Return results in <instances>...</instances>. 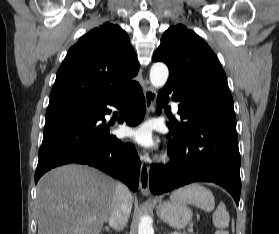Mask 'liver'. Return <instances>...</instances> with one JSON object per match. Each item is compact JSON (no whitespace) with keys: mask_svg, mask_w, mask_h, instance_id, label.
Segmentation results:
<instances>
[{"mask_svg":"<svg viewBox=\"0 0 279 234\" xmlns=\"http://www.w3.org/2000/svg\"><path fill=\"white\" fill-rule=\"evenodd\" d=\"M116 184L83 165L49 171L37 185L38 234H99L110 217Z\"/></svg>","mask_w":279,"mask_h":234,"instance_id":"obj_1","label":"liver"}]
</instances>
